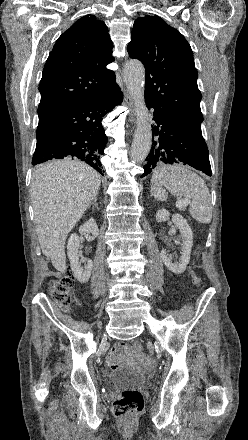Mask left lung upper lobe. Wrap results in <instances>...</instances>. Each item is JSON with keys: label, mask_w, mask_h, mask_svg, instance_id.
Segmentation results:
<instances>
[{"label": "left lung upper lobe", "mask_w": 248, "mask_h": 440, "mask_svg": "<svg viewBox=\"0 0 248 440\" xmlns=\"http://www.w3.org/2000/svg\"><path fill=\"white\" fill-rule=\"evenodd\" d=\"M127 51L145 66V99L155 110L201 132L198 73L183 35L160 17L147 15L135 20Z\"/></svg>", "instance_id": "left-lung-upper-lobe-1"}]
</instances>
